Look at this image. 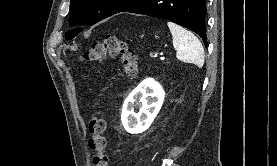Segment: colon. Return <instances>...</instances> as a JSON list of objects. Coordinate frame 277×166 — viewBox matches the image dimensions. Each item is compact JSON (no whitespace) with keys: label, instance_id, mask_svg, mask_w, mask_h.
Returning a JSON list of instances; mask_svg holds the SVG:
<instances>
[{"label":"colon","instance_id":"5ec220e1","mask_svg":"<svg viewBox=\"0 0 277 166\" xmlns=\"http://www.w3.org/2000/svg\"><path fill=\"white\" fill-rule=\"evenodd\" d=\"M118 58L127 76H134L138 69V59L132 49L116 35H106L101 41L93 43L83 54L86 62H101L106 58ZM106 123L102 117V110L96 109L89 121V148L94 151V166H108V156L105 152L104 137Z\"/></svg>","mask_w":277,"mask_h":166}]
</instances>
